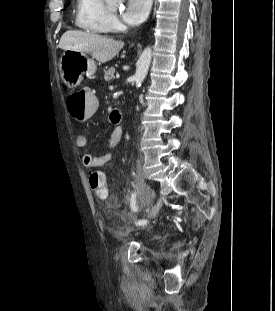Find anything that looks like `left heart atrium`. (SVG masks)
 Returning <instances> with one entry per match:
<instances>
[{
	"instance_id": "39dd6f15",
	"label": "left heart atrium",
	"mask_w": 275,
	"mask_h": 311,
	"mask_svg": "<svg viewBox=\"0 0 275 311\" xmlns=\"http://www.w3.org/2000/svg\"><path fill=\"white\" fill-rule=\"evenodd\" d=\"M151 8V0H127L123 19L129 25H138L143 22Z\"/></svg>"
}]
</instances>
